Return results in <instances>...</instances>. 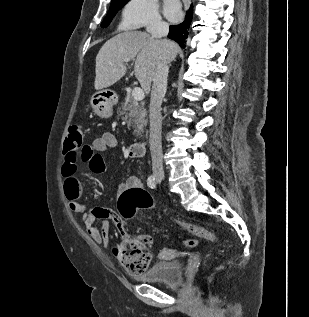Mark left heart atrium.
I'll use <instances>...</instances> for the list:
<instances>
[{
  "label": "left heart atrium",
  "instance_id": "39dd6f15",
  "mask_svg": "<svg viewBox=\"0 0 309 317\" xmlns=\"http://www.w3.org/2000/svg\"><path fill=\"white\" fill-rule=\"evenodd\" d=\"M164 12L171 21H177L181 17L180 5L176 0H167L164 6Z\"/></svg>",
  "mask_w": 309,
  "mask_h": 317
}]
</instances>
